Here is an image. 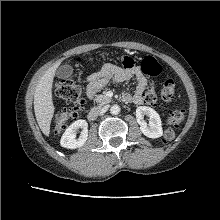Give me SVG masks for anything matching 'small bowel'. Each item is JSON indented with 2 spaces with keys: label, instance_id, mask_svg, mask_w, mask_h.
<instances>
[{
  "label": "small bowel",
  "instance_id": "1",
  "mask_svg": "<svg viewBox=\"0 0 220 220\" xmlns=\"http://www.w3.org/2000/svg\"><path fill=\"white\" fill-rule=\"evenodd\" d=\"M136 79V88L133 94L124 93L122 99L126 102L144 104V95L148 90L147 80L141 71L132 63L123 68L113 65H106L100 71L93 73L87 78L86 93L89 100H92L99 89L107 82H125L131 78ZM152 93V90H148Z\"/></svg>",
  "mask_w": 220,
  "mask_h": 220
}]
</instances>
